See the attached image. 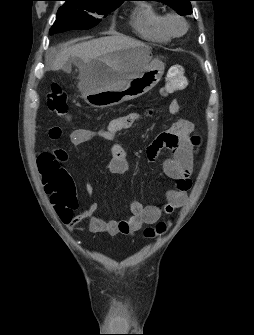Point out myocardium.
Returning a JSON list of instances; mask_svg holds the SVG:
<instances>
[{
	"instance_id": "1",
	"label": "myocardium",
	"mask_w": 254,
	"mask_h": 335,
	"mask_svg": "<svg viewBox=\"0 0 254 335\" xmlns=\"http://www.w3.org/2000/svg\"><path fill=\"white\" fill-rule=\"evenodd\" d=\"M179 22L183 25V30L181 32H176L173 29V23ZM163 27L165 31L171 36V37H180L184 35L188 30V22L186 19L177 13H169L166 14L163 18Z\"/></svg>"
}]
</instances>
